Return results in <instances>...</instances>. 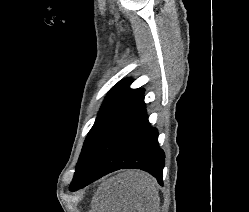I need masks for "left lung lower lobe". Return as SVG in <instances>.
I'll list each match as a JSON object with an SVG mask.
<instances>
[{
  "instance_id": "left-lung-lower-lobe-1",
  "label": "left lung lower lobe",
  "mask_w": 249,
  "mask_h": 212,
  "mask_svg": "<svg viewBox=\"0 0 249 212\" xmlns=\"http://www.w3.org/2000/svg\"><path fill=\"white\" fill-rule=\"evenodd\" d=\"M164 159L158 131L148 122L142 95L108 130L69 190L77 191L110 172L126 168L147 171L162 185Z\"/></svg>"
}]
</instances>
